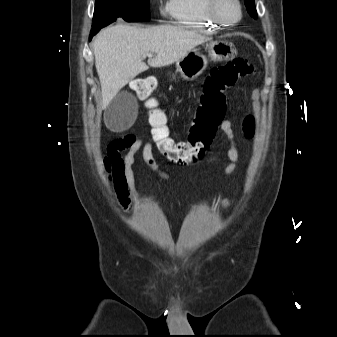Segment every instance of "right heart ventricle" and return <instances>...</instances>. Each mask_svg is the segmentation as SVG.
I'll use <instances>...</instances> for the list:
<instances>
[{"instance_id": "right-heart-ventricle-1", "label": "right heart ventricle", "mask_w": 337, "mask_h": 337, "mask_svg": "<svg viewBox=\"0 0 337 337\" xmlns=\"http://www.w3.org/2000/svg\"><path fill=\"white\" fill-rule=\"evenodd\" d=\"M208 2V0H167L165 13L180 26L213 33L225 26L211 18Z\"/></svg>"}]
</instances>
